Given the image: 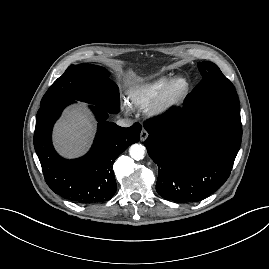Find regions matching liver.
I'll return each instance as SVG.
<instances>
[{"label": "liver", "instance_id": "6515ba94", "mask_svg": "<svg viewBox=\"0 0 269 269\" xmlns=\"http://www.w3.org/2000/svg\"><path fill=\"white\" fill-rule=\"evenodd\" d=\"M141 81L134 72L127 73V82ZM95 123L91 114L81 105L67 108L54 127V144L58 152L67 158L84 154L89 148Z\"/></svg>", "mask_w": 269, "mask_h": 269}]
</instances>
